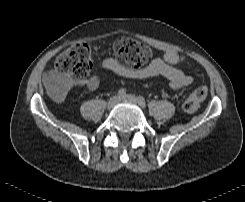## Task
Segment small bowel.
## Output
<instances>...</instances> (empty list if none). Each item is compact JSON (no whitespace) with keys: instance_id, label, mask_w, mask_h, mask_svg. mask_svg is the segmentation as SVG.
Instances as JSON below:
<instances>
[{"instance_id":"small-bowel-1","label":"small bowel","mask_w":245,"mask_h":202,"mask_svg":"<svg viewBox=\"0 0 245 202\" xmlns=\"http://www.w3.org/2000/svg\"><path fill=\"white\" fill-rule=\"evenodd\" d=\"M181 59V55L176 50H168L163 57H156L150 63L138 68H130L121 65L114 57H107L103 60V67L119 77L130 80H145L157 76L164 77L169 81V86L173 90H180L190 86L193 78L178 69L174 65ZM56 79L53 72H47L44 80L48 83ZM100 84L99 74H94L91 78L83 81H70L68 84L59 83L57 91L60 94L75 91L77 89H96Z\"/></svg>"}]
</instances>
